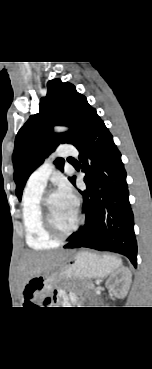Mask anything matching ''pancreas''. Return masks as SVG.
<instances>
[{"label":"pancreas","mask_w":152,"mask_h":369,"mask_svg":"<svg viewBox=\"0 0 152 369\" xmlns=\"http://www.w3.org/2000/svg\"><path fill=\"white\" fill-rule=\"evenodd\" d=\"M94 284L91 282V281H87V282H83L82 283V291H89V290H92V286Z\"/></svg>","instance_id":"pancreas-1"}]
</instances>
